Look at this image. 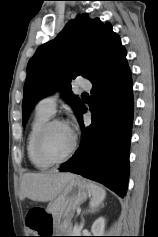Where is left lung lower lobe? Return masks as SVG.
<instances>
[{
	"label": "left lung lower lobe",
	"instance_id": "left-lung-lower-lobe-1",
	"mask_svg": "<svg viewBox=\"0 0 158 237\" xmlns=\"http://www.w3.org/2000/svg\"><path fill=\"white\" fill-rule=\"evenodd\" d=\"M133 82L127 60L93 83L92 123L84 126L83 104L77 116L82 129L79 149L60 171L92 179L123 197L129 177V147L133 122Z\"/></svg>",
	"mask_w": 158,
	"mask_h": 237
}]
</instances>
